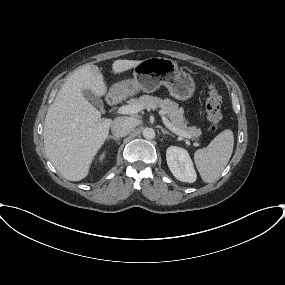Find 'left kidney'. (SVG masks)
I'll use <instances>...</instances> for the list:
<instances>
[{
	"mask_svg": "<svg viewBox=\"0 0 285 285\" xmlns=\"http://www.w3.org/2000/svg\"><path fill=\"white\" fill-rule=\"evenodd\" d=\"M166 160L171 173L182 182L193 183L197 175L189 153L176 146H171L166 151Z\"/></svg>",
	"mask_w": 285,
	"mask_h": 285,
	"instance_id": "5707ae66",
	"label": "left kidney"
}]
</instances>
